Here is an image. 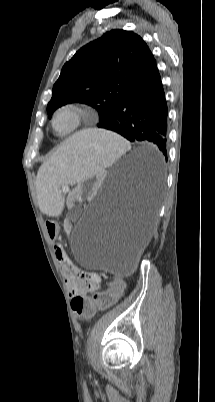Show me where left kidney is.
Instances as JSON below:
<instances>
[{"instance_id": "obj_1", "label": "left kidney", "mask_w": 215, "mask_h": 402, "mask_svg": "<svg viewBox=\"0 0 215 402\" xmlns=\"http://www.w3.org/2000/svg\"><path fill=\"white\" fill-rule=\"evenodd\" d=\"M104 170L99 169L94 175H86L82 179V184H75L69 193L68 203L70 205H79L81 200H92L93 193L98 192V184L103 180ZM66 229H73L75 223L73 220H66L64 223Z\"/></svg>"}]
</instances>
